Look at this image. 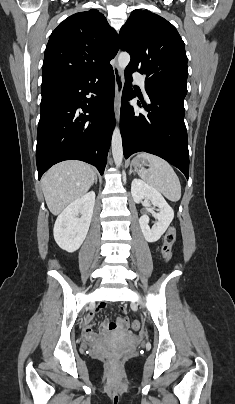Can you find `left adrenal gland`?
I'll use <instances>...</instances> for the list:
<instances>
[{
	"label": "left adrenal gland",
	"instance_id": "1",
	"mask_svg": "<svg viewBox=\"0 0 235 404\" xmlns=\"http://www.w3.org/2000/svg\"><path fill=\"white\" fill-rule=\"evenodd\" d=\"M132 172H133V170H132V168L130 167V170H129V175H131V174H132Z\"/></svg>",
	"mask_w": 235,
	"mask_h": 404
}]
</instances>
